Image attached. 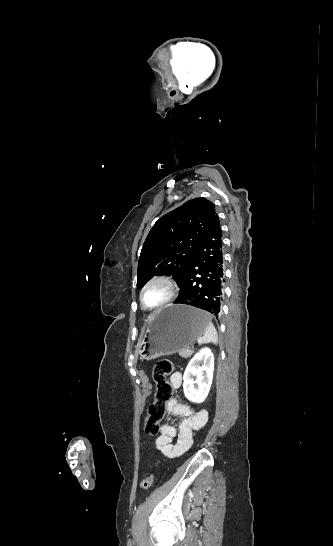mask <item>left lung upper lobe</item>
Listing matches in <instances>:
<instances>
[{
    "mask_svg": "<svg viewBox=\"0 0 333 546\" xmlns=\"http://www.w3.org/2000/svg\"><path fill=\"white\" fill-rule=\"evenodd\" d=\"M218 216L205 198L189 200L161 217L150 230L141 250L137 286L154 275H172L178 285L194 260L196 247Z\"/></svg>",
    "mask_w": 333,
    "mask_h": 546,
    "instance_id": "1",
    "label": "left lung upper lobe"
}]
</instances>
